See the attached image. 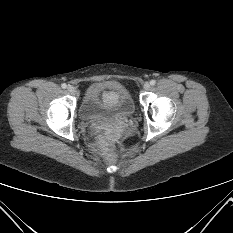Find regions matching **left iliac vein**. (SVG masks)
Returning a JSON list of instances; mask_svg holds the SVG:
<instances>
[{
  "instance_id": "4c4485c4",
  "label": "left iliac vein",
  "mask_w": 233,
  "mask_h": 233,
  "mask_svg": "<svg viewBox=\"0 0 233 233\" xmlns=\"http://www.w3.org/2000/svg\"><path fill=\"white\" fill-rule=\"evenodd\" d=\"M150 83H148V82H146L144 85H143V89L145 90V91H148L149 89H150Z\"/></svg>"
}]
</instances>
